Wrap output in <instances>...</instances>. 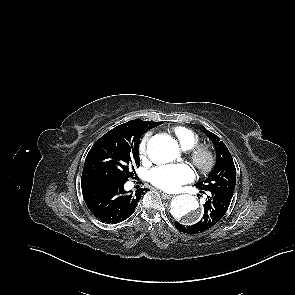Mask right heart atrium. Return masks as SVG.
I'll return each instance as SVG.
<instances>
[{"label": "right heart atrium", "mask_w": 295, "mask_h": 295, "mask_svg": "<svg viewBox=\"0 0 295 295\" xmlns=\"http://www.w3.org/2000/svg\"><path fill=\"white\" fill-rule=\"evenodd\" d=\"M148 141H149V137L146 136L145 138H143V140L141 141L140 145H139V154L142 160H147L148 157Z\"/></svg>", "instance_id": "1"}]
</instances>
